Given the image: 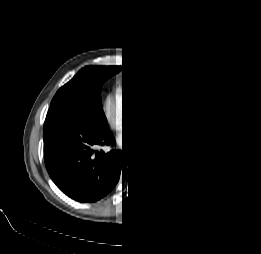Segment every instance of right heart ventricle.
I'll return each mask as SVG.
<instances>
[{"label":"right heart ventricle","instance_id":"right-heart-ventricle-1","mask_svg":"<svg viewBox=\"0 0 261 254\" xmlns=\"http://www.w3.org/2000/svg\"><path fill=\"white\" fill-rule=\"evenodd\" d=\"M142 89L143 88H141V90H139V92L137 89H135L129 93V96H130L135 108H139L140 106L144 105L148 99V98H146L144 92H142L143 91Z\"/></svg>","mask_w":261,"mask_h":254}]
</instances>
